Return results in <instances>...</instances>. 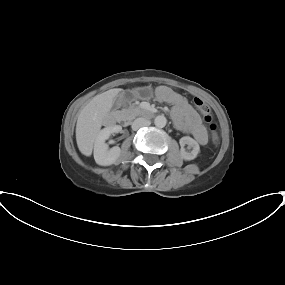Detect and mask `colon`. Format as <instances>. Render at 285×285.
Segmentation results:
<instances>
[{
  "label": "colon",
  "instance_id": "obj_1",
  "mask_svg": "<svg viewBox=\"0 0 285 285\" xmlns=\"http://www.w3.org/2000/svg\"><path fill=\"white\" fill-rule=\"evenodd\" d=\"M193 103L196 108L201 112L204 121L208 124L213 142L217 144L219 141V135L217 131V125L213 121V114L211 109L201 98L195 97L193 99Z\"/></svg>",
  "mask_w": 285,
  "mask_h": 285
}]
</instances>
